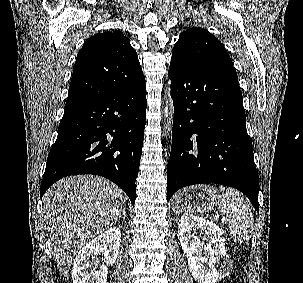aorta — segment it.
<instances>
[{"mask_svg":"<svg viewBox=\"0 0 303 283\" xmlns=\"http://www.w3.org/2000/svg\"><path fill=\"white\" fill-rule=\"evenodd\" d=\"M168 95H169V93H168ZM167 103H168V101H167ZM165 115H166V117L168 116V107L167 106L165 108Z\"/></svg>","mask_w":303,"mask_h":283,"instance_id":"1","label":"aorta"}]
</instances>
